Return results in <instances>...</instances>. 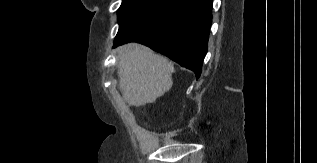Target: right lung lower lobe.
I'll list each match as a JSON object with an SVG mask.
<instances>
[{"instance_id":"1","label":"right lung lower lobe","mask_w":317,"mask_h":163,"mask_svg":"<svg viewBox=\"0 0 317 163\" xmlns=\"http://www.w3.org/2000/svg\"><path fill=\"white\" fill-rule=\"evenodd\" d=\"M212 2L176 0L151 23L115 40L114 47L131 41L142 43L194 71L198 79L208 48Z\"/></svg>"}]
</instances>
